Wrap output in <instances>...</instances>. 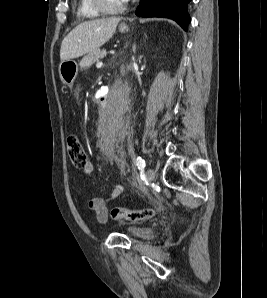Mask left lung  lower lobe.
Masks as SVG:
<instances>
[{
    "label": "left lung lower lobe",
    "instance_id": "left-lung-lower-lobe-1",
    "mask_svg": "<svg viewBox=\"0 0 267 298\" xmlns=\"http://www.w3.org/2000/svg\"><path fill=\"white\" fill-rule=\"evenodd\" d=\"M191 0H141L136 11L137 16L142 17H167L175 20L187 30L190 17L187 12V4Z\"/></svg>",
    "mask_w": 267,
    "mask_h": 298
}]
</instances>
